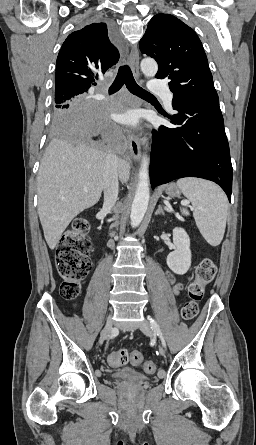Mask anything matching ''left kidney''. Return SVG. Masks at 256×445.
<instances>
[{"label":"left kidney","mask_w":256,"mask_h":445,"mask_svg":"<svg viewBox=\"0 0 256 445\" xmlns=\"http://www.w3.org/2000/svg\"><path fill=\"white\" fill-rule=\"evenodd\" d=\"M175 250L168 254L167 265L176 274H185L191 266L190 238L183 228L173 229Z\"/></svg>","instance_id":"5707ae66"}]
</instances>
